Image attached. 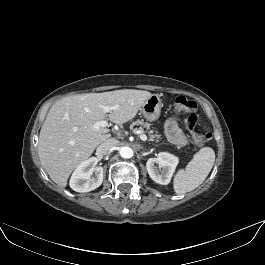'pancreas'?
Listing matches in <instances>:
<instances>
[{"label": "pancreas", "instance_id": "pancreas-1", "mask_svg": "<svg viewBox=\"0 0 265 265\" xmlns=\"http://www.w3.org/2000/svg\"><path fill=\"white\" fill-rule=\"evenodd\" d=\"M133 125H141L140 129L146 128L148 133H149V139L151 141H154L155 138H157V139L159 138V135L153 134V130H150V124L149 123H143L142 121L138 120V121L134 122Z\"/></svg>", "mask_w": 265, "mask_h": 265}]
</instances>
